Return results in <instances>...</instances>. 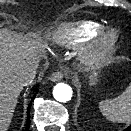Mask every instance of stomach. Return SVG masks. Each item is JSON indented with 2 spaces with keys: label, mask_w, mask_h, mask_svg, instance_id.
I'll use <instances>...</instances> for the list:
<instances>
[{
  "label": "stomach",
  "mask_w": 131,
  "mask_h": 131,
  "mask_svg": "<svg viewBox=\"0 0 131 131\" xmlns=\"http://www.w3.org/2000/svg\"><path fill=\"white\" fill-rule=\"evenodd\" d=\"M89 79H90V85H95L98 82L99 80L98 69L94 68L90 71Z\"/></svg>",
  "instance_id": "obj_1"
}]
</instances>
